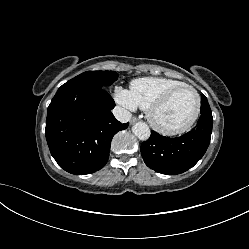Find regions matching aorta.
<instances>
[{"label": "aorta", "mask_w": 249, "mask_h": 249, "mask_svg": "<svg viewBox=\"0 0 249 249\" xmlns=\"http://www.w3.org/2000/svg\"><path fill=\"white\" fill-rule=\"evenodd\" d=\"M132 131L134 135L140 140H147L150 137V128L144 122H137L133 125Z\"/></svg>", "instance_id": "1"}]
</instances>
